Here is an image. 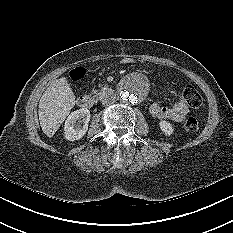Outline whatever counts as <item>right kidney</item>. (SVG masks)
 I'll return each mask as SVG.
<instances>
[{
    "label": "right kidney",
    "instance_id": "obj_1",
    "mask_svg": "<svg viewBox=\"0 0 233 233\" xmlns=\"http://www.w3.org/2000/svg\"><path fill=\"white\" fill-rule=\"evenodd\" d=\"M89 121L90 111L88 109L81 108L72 112L65 121V139L75 141L82 138L88 130Z\"/></svg>",
    "mask_w": 233,
    "mask_h": 233
}]
</instances>
